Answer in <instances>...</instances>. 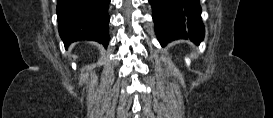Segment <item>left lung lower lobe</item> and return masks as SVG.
Listing matches in <instances>:
<instances>
[{
	"label": "left lung lower lobe",
	"instance_id": "1",
	"mask_svg": "<svg viewBox=\"0 0 273 118\" xmlns=\"http://www.w3.org/2000/svg\"><path fill=\"white\" fill-rule=\"evenodd\" d=\"M155 32L161 45L175 39L199 44L204 38L199 0H149Z\"/></svg>",
	"mask_w": 273,
	"mask_h": 118
}]
</instances>
